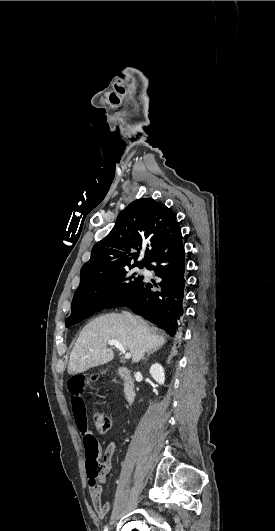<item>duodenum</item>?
<instances>
[{"label":"duodenum","mask_w":275,"mask_h":531,"mask_svg":"<svg viewBox=\"0 0 275 531\" xmlns=\"http://www.w3.org/2000/svg\"><path fill=\"white\" fill-rule=\"evenodd\" d=\"M119 376L123 380L124 398L128 405L133 404L136 396V384L130 367L120 366L117 368Z\"/></svg>","instance_id":"1"}]
</instances>
